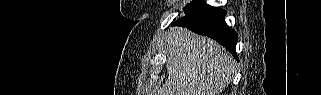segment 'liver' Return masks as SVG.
I'll list each match as a JSON object with an SVG mask.
<instances>
[{
    "instance_id": "liver-1",
    "label": "liver",
    "mask_w": 321,
    "mask_h": 95,
    "mask_svg": "<svg viewBox=\"0 0 321 95\" xmlns=\"http://www.w3.org/2000/svg\"><path fill=\"white\" fill-rule=\"evenodd\" d=\"M166 41L169 76L155 95H220L230 84L234 58L217 42L181 27Z\"/></svg>"
}]
</instances>
